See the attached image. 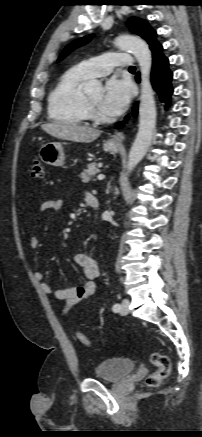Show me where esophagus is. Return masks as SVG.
I'll use <instances>...</instances> for the list:
<instances>
[{
    "mask_svg": "<svg viewBox=\"0 0 202 437\" xmlns=\"http://www.w3.org/2000/svg\"><path fill=\"white\" fill-rule=\"evenodd\" d=\"M111 140L112 142L119 144L124 140V134L122 132H118L112 137Z\"/></svg>",
    "mask_w": 202,
    "mask_h": 437,
    "instance_id": "34e87169",
    "label": "esophagus"
}]
</instances>
